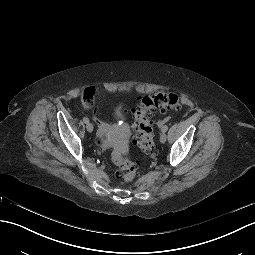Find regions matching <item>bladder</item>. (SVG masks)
I'll list each match as a JSON object with an SVG mask.
<instances>
[{
	"instance_id": "31cf9c89",
	"label": "bladder",
	"mask_w": 255,
	"mask_h": 255,
	"mask_svg": "<svg viewBox=\"0 0 255 255\" xmlns=\"http://www.w3.org/2000/svg\"><path fill=\"white\" fill-rule=\"evenodd\" d=\"M109 134H110V133H106V134H105V138H107ZM111 134H112V132H111Z\"/></svg>"
}]
</instances>
